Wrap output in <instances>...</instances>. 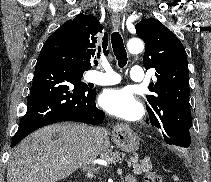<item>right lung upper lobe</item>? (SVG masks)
Instances as JSON below:
<instances>
[{
  "mask_svg": "<svg viewBox=\"0 0 211 182\" xmlns=\"http://www.w3.org/2000/svg\"><path fill=\"white\" fill-rule=\"evenodd\" d=\"M61 28L70 34L77 44L79 59L84 70L91 68V61L96 52L98 34L103 30V26L96 17L92 15L79 14L73 20L65 22ZM102 48L105 55L107 50L108 36L104 34L102 39Z\"/></svg>",
  "mask_w": 211,
  "mask_h": 182,
  "instance_id": "cb5924a9",
  "label": "right lung upper lobe"
}]
</instances>
